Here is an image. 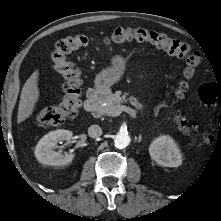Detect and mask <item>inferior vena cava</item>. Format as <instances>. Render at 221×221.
I'll list each match as a JSON object with an SVG mask.
<instances>
[{"instance_id":"602c4592","label":"inferior vena cava","mask_w":221,"mask_h":221,"mask_svg":"<svg viewBox=\"0 0 221 221\" xmlns=\"http://www.w3.org/2000/svg\"><path fill=\"white\" fill-rule=\"evenodd\" d=\"M88 135L92 138L100 137L102 135V129L99 125H91L88 128Z\"/></svg>"}]
</instances>
